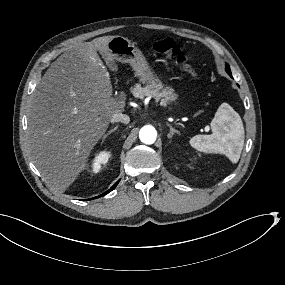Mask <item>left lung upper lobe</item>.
<instances>
[{"mask_svg":"<svg viewBox=\"0 0 285 285\" xmlns=\"http://www.w3.org/2000/svg\"><path fill=\"white\" fill-rule=\"evenodd\" d=\"M226 71H227V73H228L230 76H232V75H231V71H230V67H229L228 64L226 65Z\"/></svg>","mask_w":285,"mask_h":285,"instance_id":"obj_1","label":"left lung upper lobe"}]
</instances>
